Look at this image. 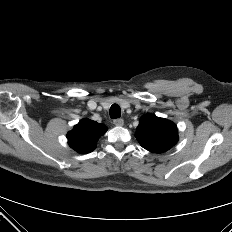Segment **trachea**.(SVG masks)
Segmentation results:
<instances>
[{
  "instance_id": "obj_1",
  "label": "trachea",
  "mask_w": 232,
  "mask_h": 232,
  "mask_svg": "<svg viewBox=\"0 0 232 232\" xmlns=\"http://www.w3.org/2000/svg\"><path fill=\"white\" fill-rule=\"evenodd\" d=\"M121 116V109L117 104H113L110 107V117L112 119L119 118Z\"/></svg>"
}]
</instances>
